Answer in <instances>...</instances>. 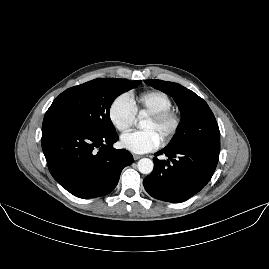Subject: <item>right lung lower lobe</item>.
<instances>
[{
  "mask_svg": "<svg viewBox=\"0 0 269 269\" xmlns=\"http://www.w3.org/2000/svg\"><path fill=\"white\" fill-rule=\"evenodd\" d=\"M115 134H99L67 116L46 112L42 149L53 178L79 198L110 193L122 169L133 162L125 149H114Z\"/></svg>",
  "mask_w": 269,
  "mask_h": 269,
  "instance_id": "98d812e1",
  "label": "right lung lower lobe"
}]
</instances>
